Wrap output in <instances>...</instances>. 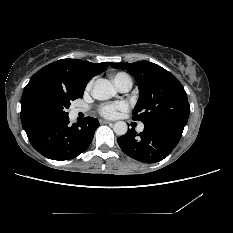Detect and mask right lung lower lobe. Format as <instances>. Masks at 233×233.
I'll list each match as a JSON object with an SVG mask.
<instances>
[{
	"label": "right lung lower lobe",
	"mask_w": 233,
	"mask_h": 233,
	"mask_svg": "<svg viewBox=\"0 0 233 233\" xmlns=\"http://www.w3.org/2000/svg\"><path fill=\"white\" fill-rule=\"evenodd\" d=\"M69 123L68 117L53 121L28 134V139L40 154L49 159H72L89 147L99 122L96 118L86 117L77 125Z\"/></svg>",
	"instance_id": "1"
}]
</instances>
